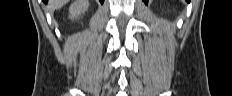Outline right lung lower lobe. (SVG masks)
I'll list each match as a JSON object with an SVG mask.
<instances>
[{
	"label": "right lung lower lobe",
	"instance_id": "obj_1",
	"mask_svg": "<svg viewBox=\"0 0 232 96\" xmlns=\"http://www.w3.org/2000/svg\"><path fill=\"white\" fill-rule=\"evenodd\" d=\"M44 1V3H47L48 2V0H43ZM100 2H101V4L104 2V0H99Z\"/></svg>",
	"mask_w": 232,
	"mask_h": 96
}]
</instances>
